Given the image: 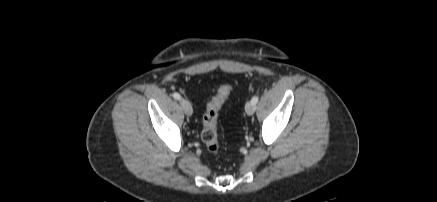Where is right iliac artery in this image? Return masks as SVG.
Segmentation results:
<instances>
[{"instance_id": "right-iliac-artery-1", "label": "right iliac artery", "mask_w": 437, "mask_h": 202, "mask_svg": "<svg viewBox=\"0 0 437 202\" xmlns=\"http://www.w3.org/2000/svg\"><path fill=\"white\" fill-rule=\"evenodd\" d=\"M173 97H174L176 100H180V99H181L180 94L177 93V92H175V93L173 94Z\"/></svg>"}]
</instances>
